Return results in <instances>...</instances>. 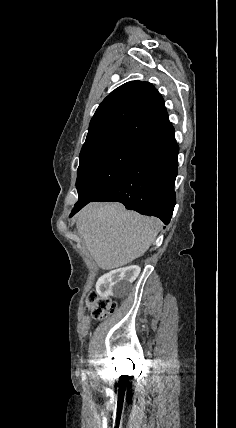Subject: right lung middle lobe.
I'll use <instances>...</instances> for the list:
<instances>
[{
  "label": "right lung middle lobe",
  "mask_w": 236,
  "mask_h": 428,
  "mask_svg": "<svg viewBox=\"0 0 236 428\" xmlns=\"http://www.w3.org/2000/svg\"><path fill=\"white\" fill-rule=\"evenodd\" d=\"M140 147L141 141H125L81 159L76 180L79 196L74 208L90 202L117 180Z\"/></svg>",
  "instance_id": "obj_1"
}]
</instances>
